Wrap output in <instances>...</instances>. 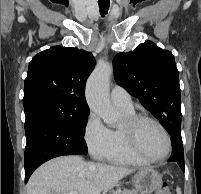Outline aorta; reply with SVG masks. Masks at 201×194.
Returning a JSON list of instances; mask_svg holds the SVG:
<instances>
[{
	"label": "aorta",
	"mask_w": 201,
	"mask_h": 194,
	"mask_svg": "<svg viewBox=\"0 0 201 194\" xmlns=\"http://www.w3.org/2000/svg\"><path fill=\"white\" fill-rule=\"evenodd\" d=\"M112 72V64L100 61L86 84V98L90 109L108 125L116 124L119 119V113L109 100V81Z\"/></svg>",
	"instance_id": "obj_1"
}]
</instances>
